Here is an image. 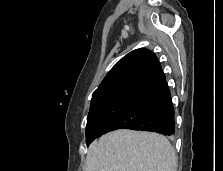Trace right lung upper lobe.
Here are the masks:
<instances>
[{"instance_id": "cb5924a9", "label": "right lung upper lobe", "mask_w": 223, "mask_h": 171, "mask_svg": "<svg viewBox=\"0 0 223 171\" xmlns=\"http://www.w3.org/2000/svg\"><path fill=\"white\" fill-rule=\"evenodd\" d=\"M164 79L155 54L144 48L136 49L114 65L91 101L120 94L138 96Z\"/></svg>"}]
</instances>
